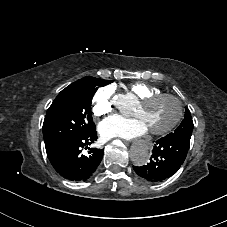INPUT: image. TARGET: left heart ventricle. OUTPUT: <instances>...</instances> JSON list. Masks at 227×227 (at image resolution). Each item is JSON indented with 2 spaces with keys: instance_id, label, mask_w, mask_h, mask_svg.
I'll use <instances>...</instances> for the list:
<instances>
[{
  "instance_id": "b2bd125f",
  "label": "left heart ventricle",
  "mask_w": 227,
  "mask_h": 227,
  "mask_svg": "<svg viewBox=\"0 0 227 227\" xmlns=\"http://www.w3.org/2000/svg\"><path fill=\"white\" fill-rule=\"evenodd\" d=\"M176 114L175 102L170 98H162L144 107L139 105L134 116L140 118L148 130H161L173 121Z\"/></svg>"
}]
</instances>
